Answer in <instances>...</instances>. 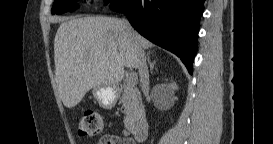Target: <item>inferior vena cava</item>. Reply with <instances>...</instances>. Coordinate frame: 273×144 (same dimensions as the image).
Masks as SVG:
<instances>
[{
	"mask_svg": "<svg viewBox=\"0 0 273 144\" xmlns=\"http://www.w3.org/2000/svg\"><path fill=\"white\" fill-rule=\"evenodd\" d=\"M126 31L135 37V53H136V57H137V62H138V69H139V76H140V82H141V86L144 90H147L149 87V73H148V67L146 64V57H145V53L144 50L142 48V46L140 45V43L137 41L136 39V34L134 32V30L132 29V27L130 26L129 22L126 19L122 20Z\"/></svg>",
	"mask_w": 273,
	"mask_h": 144,
	"instance_id": "obj_1",
	"label": "inferior vena cava"
}]
</instances>
